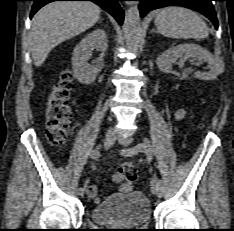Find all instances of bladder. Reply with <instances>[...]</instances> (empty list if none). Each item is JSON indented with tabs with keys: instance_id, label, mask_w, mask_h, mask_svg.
<instances>
[{
	"instance_id": "obj_1",
	"label": "bladder",
	"mask_w": 234,
	"mask_h": 231,
	"mask_svg": "<svg viewBox=\"0 0 234 231\" xmlns=\"http://www.w3.org/2000/svg\"><path fill=\"white\" fill-rule=\"evenodd\" d=\"M152 217L150 201L138 191L119 193L96 204L90 211L93 222L108 226H138Z\"/></svg>"
}]
</instances>
